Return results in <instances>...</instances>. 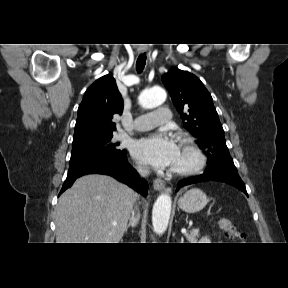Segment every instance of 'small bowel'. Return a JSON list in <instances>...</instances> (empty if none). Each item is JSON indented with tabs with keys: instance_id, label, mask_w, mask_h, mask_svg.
<instances>
[{
	"instance_id": "c3829d8e",
	"label": "small bowel",
	"mask_w": 288,
	"mask_h": 288,
	"mask_svg": "<svg viewBox=\"0 0 288 288\" xmlns=\"http://www.w3.org/2000/svg\"><path fill=\"white\" fill-rule=\"evenodd\" d=\"M202 240H203V242H208L210 240V238L205 236V237L202 238Z\"/></svg>"
}]
</instances>
